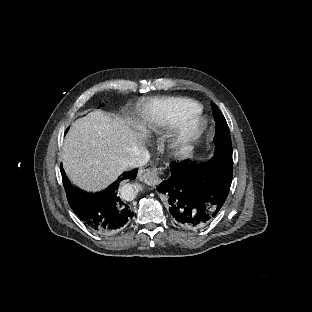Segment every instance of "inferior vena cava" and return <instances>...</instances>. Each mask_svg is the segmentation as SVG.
Returning a JSON list of instances; mask_svg holds the SVG:
<instances>
[{"label": "inferior vena cava", "mask_w": 312, "mask_h": 312, "mask_svg": "<svg viewBox=\"0 0 312 312\" xmlns=\"http://www.w3.org/2000/svg\"><path fill=\"white\" fill-rule=\"evenodd\" d=\"M150 159V154L147 149H144L137 156L133 157L131 160L125 162V168L133 169L145 166Z\"/></svg>", "instance_id": "obj_1"}]
</instances>
